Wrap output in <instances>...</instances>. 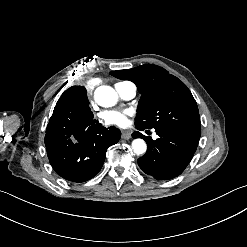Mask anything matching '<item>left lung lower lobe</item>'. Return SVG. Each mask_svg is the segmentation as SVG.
Wrapping results in <instances>:
<instances>
[{
	"mask_svg": "<svg viewBox=\"0 0 247 247\" xmlns=\"http://www.w3.org/2000/svg\"><path fill=\"white\" fill-rule=\"evenodd\" d=\"M155 131L159 135L155 141L140 132L133 133L134 137H141L148 144L146 154L138 159V165L144 173L157 180L175 178L191 161L199 139L175 130Z\"/></svg>",
	"mask_w": 247,
	"mask_h": 247,
	"instance_id": "0a47b994",
	"label": "left lung lower lobe"
}]
</instances>
